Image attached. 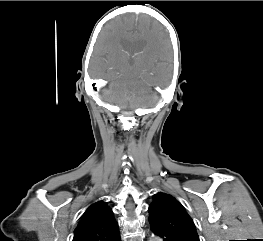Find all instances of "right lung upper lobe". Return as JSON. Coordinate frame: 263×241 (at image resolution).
Instances as JSON below:
<instances>
[{"mask_svg":"<svg viewBox=\"0 0 263 241\" xmlns=\"http://www.w3.org/2000/svg\"><path fill=\"white\" fill-rule=\"evenodd\" d=\"M119 238L112 210L105 202L98 201L83 214L74 231L73 241H118Z\"/></svg>","mask_w":263,"mask_h":241,"instance_id":"cb5924a9","label":"right lung upper lobe"}]
</instances>
